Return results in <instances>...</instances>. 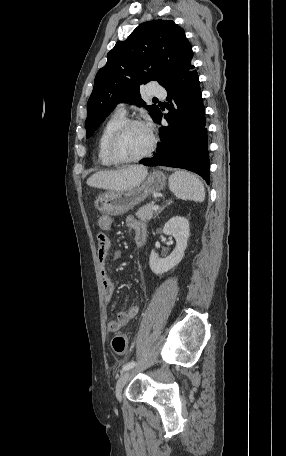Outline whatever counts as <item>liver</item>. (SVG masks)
Segmentation results:
<instances>
[{
	"label": "liver",
	"instance_id": "liver-1",
	"mask_svg": "<svg viewBox=\"0 0 286 456\" xmlns=\"http://www.w3.org/2000/svg\"><path fill=\"white\" fill-rule=\"evenodd\" d=\"M147 175L148 170L146 167L131 165L115 171H98L87 179V185L122 192L141 184Z\"/></svg>",
	"mask_w": 286,
	"mask_h": 456
}]
</instances>
